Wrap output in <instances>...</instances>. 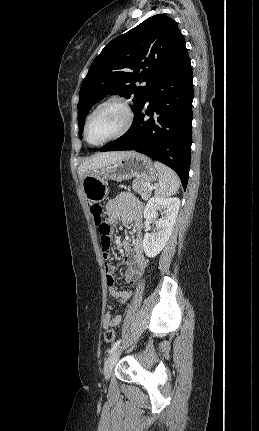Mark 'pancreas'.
Instances as JSON below:
<instances>
[{"label": "pancreas", "instance_id": "1", "mask_svg": "<svg viewBox=\"0 0 259 431\" xmlns=\"http://www.w3.org/2000/svg\"><path fill=\"white\" fill-rule=\"evenodd\" d=\"M132 189L138 193L142 199L147 200L148 198H150L151 195V190L147 187V183L139 180V179H135L132 183Z\"/></svg>", "mask_w": 259, "mask_h": 431}]
</instances>
